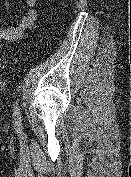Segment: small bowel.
Here are the masks:
<instances>
[{
	"label": "small bowel",
	"instance_id": "obj_1",
	"mask_svg": "<svg viewBox=\"0 0 131 177\" xmlns=\"http://www.w3.org/2000/svg\"><path fill=\"white\" fill-rule=\"evenodd\" d=\"M23 2L27 8L26 14L16 25L11 27H0V40H18L24 36L28 29L32 28L37 18V11L35 9L37 0H23Z\"/></svg>",
	"mask_w": 131,
	"mask_h": 177
}]
</instances>
